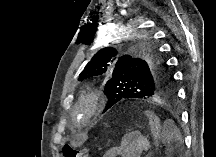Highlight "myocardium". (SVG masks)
Segmentation results:
<instances>
[{
    "mask_svg": "<svg viewBox=\"0 0 216 157\" xmlns=\"http://www.w3.org/2000/svg\"><path fill=\"white\" fill-rule=\"evenodd\" d=\"M104 100L97 91L82 93L74 108V120L78 125H87L100 113Z\"/></svg>",
    "mask_w": 216,
    "mask_h": 157,
    "instance_id": "1",
    "label": "myocardium"
}]
</instances>
